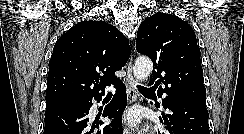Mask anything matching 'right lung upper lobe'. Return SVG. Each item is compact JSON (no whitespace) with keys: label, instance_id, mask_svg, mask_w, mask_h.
I'll return each mask as SVG.
<instances>
[{"label":"right lung upper lobe","instance_id":"cb5924a9","mask_svg":"<svg viewBox=\"0 0 244 134\" xmlns=\"http://www.w3.org/2000/svg\"><path fill=\"white\" fill-rule=\"evenodd\" d=\"M126 37L104 21H82L56 42L49 61L46 101L89 99L120 80L115 72L128 61ZM101 91V92H100Z\"/></svg>","mask_w":244,"mask_h":134}]
</instances>
